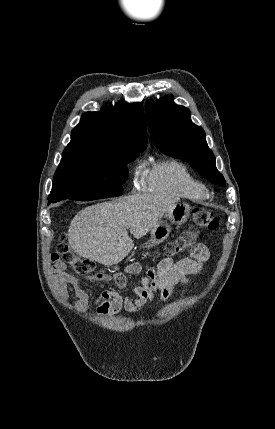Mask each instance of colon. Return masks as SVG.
<instances>
[{
  "instance_id": "5ec220e1",
  "label": "colon",
  "mask_w": 275,
  "mask_h": 429,
  "mask_svg": "<svg viewBox=\"0 0 275 429\" xmlns=\"http://www.w3.org/2000/svg\"><path fill=\"white\" fill-rule=\"evenodd\" d=\"M219 221L216 215L203 207H195L192 212V225L184 230L177 238L169 242L163 249V254L168 257L176 256L196 246L200 231L215 230ZM62 257L72 269L83 274H91L94 263L91 260L77 255L67 243H62L54 261Z\"/></svg>"
}]
</instances>
